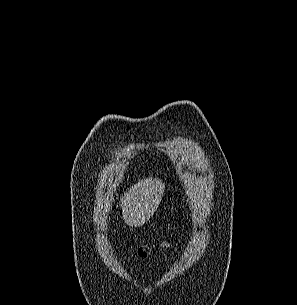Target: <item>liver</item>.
<instances>
[{
    "label": "liver",
    "mask_w": 297,
    "mask_h": 305,
    "mask_svg": "<svg viewBox=\"0 0 297 305\" xmlns=\"http://www.w3.org/2000/svg\"><path fill=\"white\" fill-rule=\"evenodd\" d=\"M164 187L161 181L139 180L121 198L122 215L125 223L140 227L153 216L163 197Z\"/></svg>",
    "instance_id": "obj_1"
}]
</instances>
